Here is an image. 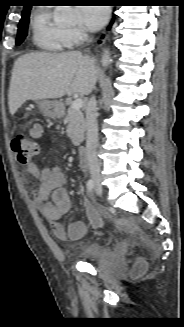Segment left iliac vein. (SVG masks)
I'll return each mask as SVG.
<instances>
[{"mask_svg": "<svg viewBox=\"0 0 184 327\" xmlns=\"http://www.w3.org/2000/svg\"><path fill=\"white\" fill-rule=\"evenodd\" d=\"M96 193H97L98 195H100V194L102 193V189H101V187H99V186L96 187Z\"/></svg>", "mask_w": 184, "mask_h": 327, "instance_id": "1", "label": "left iliac vein"}]
</instances>
